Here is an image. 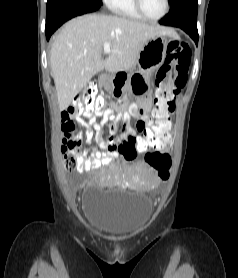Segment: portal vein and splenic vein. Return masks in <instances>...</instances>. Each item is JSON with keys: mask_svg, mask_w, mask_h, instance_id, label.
Listing matches in <instances>:
<instances>
[{"mask_svg": "<svg viewBox=\"0 0 238 278\" xmlns=\"http://www.w3.org/2000/svg\"><path fill=\"white\" fill-rule=\"evenodd\" d=\"M103 50H104V53H109L110 52V43L106 42L103 44Z\"/></svg>", "mask_w": 238, "mask_h": 278, "instance_id": "portal-vein-and-splenic-vein-1", "label": "portal vein and splenic vein"}]
</instances>
